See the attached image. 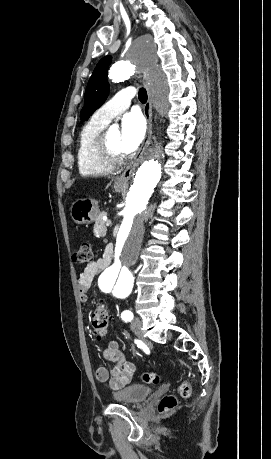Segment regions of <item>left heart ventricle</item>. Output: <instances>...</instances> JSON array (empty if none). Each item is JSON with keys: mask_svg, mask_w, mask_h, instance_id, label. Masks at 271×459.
Listing matches in <instances>:
<instances>
[{"mask_svg": "<svg viewBox=\"0 0 271 459\" xmlns=\"http://www.w3.org/2000/svg\"><path fill=\"white\" fill-rule=\"evenodd\" d=\"M107 138H108L109 144L115 150L125 151L123 148L121 130L119 128L115 130H109Z\"/></svg>", "mask_w": 271, "mask_h": 459, "instance_id": "obj_1", "label": "left heart ventricle"}]
</instances>
